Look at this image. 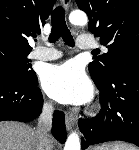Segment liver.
<instances>
[{
    "label": "liver",
    "instance_id": "liver-1",
    "mask_svg": "<svg viewBox=\"0 0 139 150\" xmlns=\"http://www.w3.org/2000/svg\"><path fill=\"white\" fill-rule=\"evenodd\" d=\"M0 150H39L36 131L20 122H0Z\"/></svg>",
    "mask_w": 139,
    "mask_h": 150
}]
</instances>
